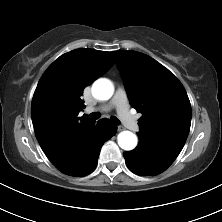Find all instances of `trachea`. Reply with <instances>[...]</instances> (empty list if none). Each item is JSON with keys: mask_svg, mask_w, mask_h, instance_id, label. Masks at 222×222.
<instances>
[{"mask_svg": "<svg viewBox=\"0 0 222 222\" xmlns=\"http://www.w3.org/2000/svg\"><path fill=\"white\" fill-rule=\"evenodd\" d=\"M89 117H90L91 119L96 120V119L100 118V114L97 113V112H94V113H91V114L89 115ZM111 121H112L114 124H116V125H119V124H120V121H119L116 117H111Z\"/></svg>", "mask_w": 222, "mask_h": 222, "instance_id": "3493384b", "label": "trachea"}]
</instances>
